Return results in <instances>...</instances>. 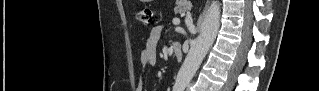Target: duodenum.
Returning <instances> with one entry per match:
<instances>
[{
  "label": "duodenum",
  "instance_id": "1",
  "mask_svg": "<svg viewBox=\"0 0 319 91\" xmlns=\"http://www.w3.org/2000/svg\"><path fill=\"white\" fill-rule=\"evenodd\" d=\"M171 48L177 58H180L182 56L181 46L178 42H173Z\"/></svg>",
  "mask_w": 319,
  "mask_h": 91
}]
</instances>
